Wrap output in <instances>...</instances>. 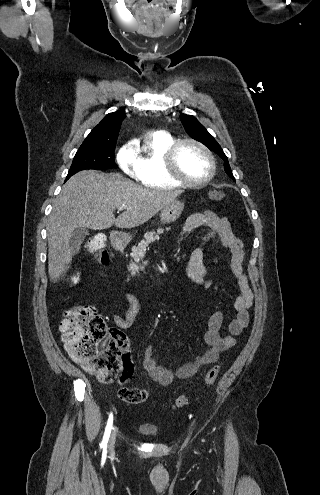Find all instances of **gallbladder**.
Returning <instances> with one entry per match:
<instances>
[{
    "label": "gallbladder",
    "instance_id": "bac80fb5",
    "mask_svg": "<svg viewBox=\"0 0 320 495\" xmlns=\"http://www.w3.org/2000/svg\"><path fill=\"white\" fill-rule=\"evenodd\" d=\"M89 235V230L85 227L76 228L69 240V246L72 249L73 254L79 251L80 245L84 239Z\"/></svg>",
    "mask_w": 320,
    "mask_h": 495
}]
</instances>
